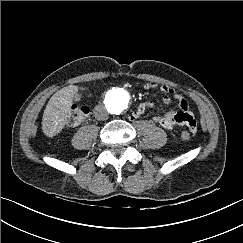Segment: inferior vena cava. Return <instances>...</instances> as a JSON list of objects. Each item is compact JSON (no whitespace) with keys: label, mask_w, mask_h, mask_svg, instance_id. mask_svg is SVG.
Returning <instances> with one entry per match:
<instances>
[{"label":"inferior vena cava","mask_w":243,"mask_h":243,"mask_svg":"<svg viewBox=\"0 0 243 243\" xmlns=\"http://www.w3.org/2000/svg\"><path fill=\"white\" fill-rule=\"evenodd\" d=\"M95 118L99 121L108 119V113L103 107H98L95 111Z\"/></svg>","instance_id":"obj_1"}]
</instances>
